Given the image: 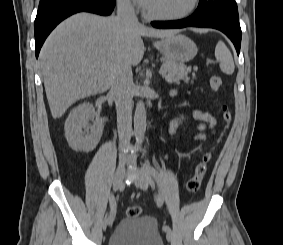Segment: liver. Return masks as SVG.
<instances>
[{
  "mask_svg": "<svg viewBox=\"0 0 283 245\" xmlns=\"http://www.w3.org/2000/svg\"><path fill=\"white\" fill-rule=\"evenodd\" d=\"M172 35L175 31L90 13H78L60 23L39 55L52 117L60 118L79 99L107 91L120 66L138 65L145 51L142 36Z\"/></svg>",
  "mask_w": 283,
  "mask_h": 245,
  "instance_id": "liver-1",
  "label": "liver"
}]
</instances>
